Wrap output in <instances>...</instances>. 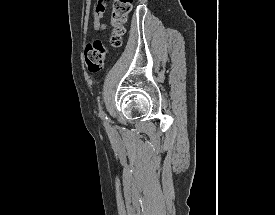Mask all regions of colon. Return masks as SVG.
<instances>
[{"label":"colon","instance_id":"colon-1","mask_svg":"<svg viewBox=\"0 0 275 215\" xmlns=\"http://www.w3.org/2000/svg\"><path fill=\"white\" fill-rule=\"evenodd\" d=\"M132 0H113L111 14L112 30L109 44L105 45L100 39L89 41L84 48V62L91 73L100 72L105 64L111 49L121 46L124 34V25L132 8Z\"/></svg>","mask_w":275,"mask_h":215}]
</instances>
